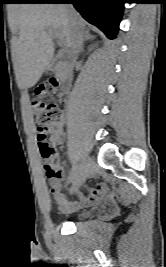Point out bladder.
Instances as JSON below:
<instances>
[{
	"label": "bladder",
	"instance_id": "31cf9c89",
	"mask_svg": "<svg viewBox=\"0 0 166 267\" xmlns=\"http://www.w3.org/2000/svg\"><path fill=\"white\" fill-rule=\"evenodd\" d=\"M86 216H87V213H81V214L77 215L76 218L77 219H82V218H84Z\"/></svg>",
	"mask_w": 166,
	"mask_h": 267
}]
</instances>
